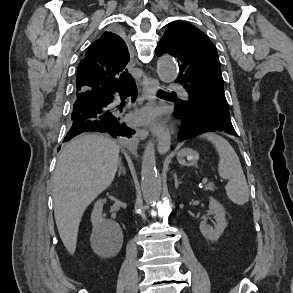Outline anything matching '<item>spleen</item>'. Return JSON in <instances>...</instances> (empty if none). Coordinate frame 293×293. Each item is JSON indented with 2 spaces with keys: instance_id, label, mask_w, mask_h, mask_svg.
<instances>
[{
  "instance_id": "3e777b00",
  "label": "spleen",
  "mask_w": 293,
  "mask_h": 293,
  "mask_svg": "<svg viewBox=\"0 0 293 293\" xmlns=\"http://www.w3.org/2000/svg\"><path fill=\"white\" fill-rule=\"evenodd\" d=\"M200 138L210 141L218 152V174L228 180L225 186L228 198L237 205L245 204L249 200V187L235 150L218 134L208 132L202 134Z\"/></svg>"
}]
</instances>
